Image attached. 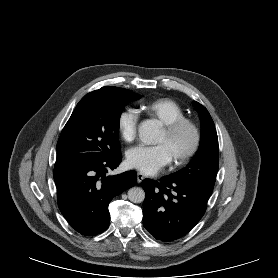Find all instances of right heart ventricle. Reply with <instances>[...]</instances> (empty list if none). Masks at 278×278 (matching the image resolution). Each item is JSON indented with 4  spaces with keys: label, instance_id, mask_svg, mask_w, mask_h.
<instances>
[{
    "label": "right heart ventricle",
    "instance_id": "obj_1",
    "mask_svg": "<svg viewBox=\"0 0 278 278\" xmlns=\"http://www.w3.org/2000/svg\"><path fill=\"white\" fill-rule=\"evenodd\" d=\"M140 109L164 126L185 117V112L180 104L170 98H160L143 103Z\"/></svg>",
    "mask_w": 278,
    "mask_h": 278
}]
</instances>
